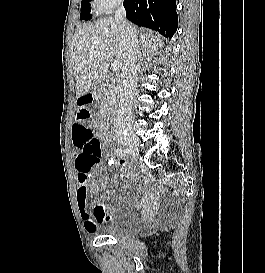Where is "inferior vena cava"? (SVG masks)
<instances>
[{"label": "inferior vena cava", "mask_w": 265, "mask_h": 273, "mask_svg": "<svg viewBox=\"0 0 265 273\" xmlns=\"http://www.w3.org/2000/svg\"><path fill=\"white\" fill-rule=\"evenodd\" d=\"M114 20L126 45V61L120 78V95L117 115L114 120V131L116 135L132 134V102L136 88L135 76L140 59V47L134 28L125 19L123 6L118 7L115 11Z\"/></svg>", "instance_id": "1"}]
</instances>
